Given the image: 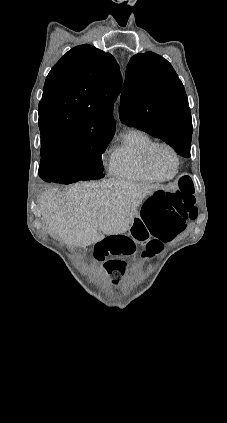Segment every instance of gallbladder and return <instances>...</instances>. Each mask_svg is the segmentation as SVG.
I'll use <instances>...</instances> for the list:
<instances>
[{"label":"gallbladder","mask_w":227,"mask_h":423,"mask_svg":"<svg viewBox=\"0 0 227 423\" xmlns=\"http://www.w3.org/2000/svg\"><path fill=\"white\" fill-rule=\"evenodd\" d=\"M73 251H77L80 257H85L87 253V247H73Z\"/></svg>","instance_id":"1"}]
</instances>
